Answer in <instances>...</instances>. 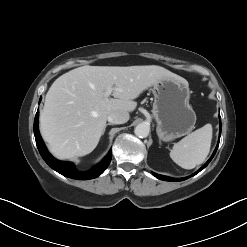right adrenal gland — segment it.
I'll list each match as a JSON object with an SVG mask.
<instances>
[{"instance_id":"right-adrenal-gland-1","label":"right adrenal gland","mask_w":247,"mask_h":247,"mask_svg":"<svg viewBox=\"0 0 247 247\" xmlns=\"http://www.w3.org/2000/svg\"><path fill=\"white\" fill-rule=\"evenodd\" d=\"M108 125H112V124H111V123H108V124L105 125L104 130H103V132H102V135L105 133L106 127H107Z\"/></svg>"}]
</instances>
